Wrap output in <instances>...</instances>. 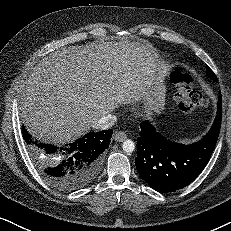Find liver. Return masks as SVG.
Returning <instances> with one entry per match:
<instances>
[{"label": "liver", "mask_w": 231, "mask_h": 231, "mask_svg": "<svg viewBox=\"0 0 231 231\" xmlns=\"http://www.w3.org/2000/svg\"><path fill=\"white\" fill-rule=\"evenodd\" d=\"M167 72L149 44L121 41L63 48L46 56L25 81L21 117L34 136L64 144L122 104L142 99L147 117L160 113Z\"/></svg>", "instance_id": "1"}]
</instances>
